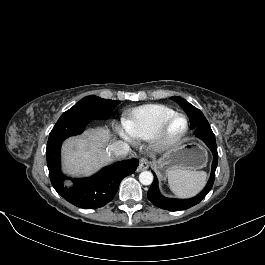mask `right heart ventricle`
<instances>
[{"label": "right heart ventricle", "instance_id": "e07e8e85", "mask_svg": "<svg viewBox=\"0 0 265 265\" xmlns=\"http://www.w3.org/2000/svg\"><path fill=\"white\" fill-rule=\"evenodd\" d=\"M175 111L161 104H147L123 114V124L135 139H151L161 123Z\"/></svg>", "mask_w": 265, "mask_h": 265}]
</instances>
